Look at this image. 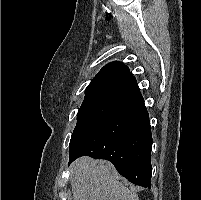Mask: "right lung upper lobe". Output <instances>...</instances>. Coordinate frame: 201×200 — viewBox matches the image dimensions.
Instances as JSON below:
<instances>
[{
	"label": "right lung upper lobe",
	"mask_w": 201,
	"mask_h": 200,
	"mask_svg": "<svg viewBox=\"0 0 201 200\" xmlns=\"http://www.w3.org/2000/svg\"><path fill=\"white\" fill-rule=\"evenodd\" d=\"M86 93L111 92L134 100L141 96L136 79L122 62L104 66L86 88Z\"/></svg>",
	"instance_id": "obj_1"
}]
</instances>
